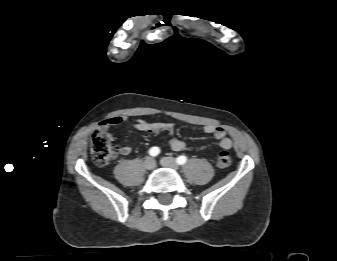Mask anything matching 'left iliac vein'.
I'll use <instances>...</instances> for the list:
<instances>
[{
	"instance_id": "4c4485c4",
	"label": "left iliac vein",
	"mask_w": 337,
	"mask_h": 261,
	"mask_svg": "<svg viewBox=\"0 0 337 261\" xmlns=\"http://www.w3.org/2000/svg\"><path fill=\"white\" fill-rule=\"evenodd\" d=\"M161 165L173 170H178L179 165L177 164L176 160L173 157H163L161 159Z\"/></svg>"
}]
</instances>
